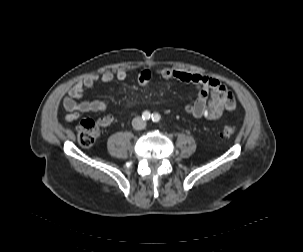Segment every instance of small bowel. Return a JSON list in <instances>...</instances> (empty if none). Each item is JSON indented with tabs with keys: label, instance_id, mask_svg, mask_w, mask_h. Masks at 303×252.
Segmentation results:
<instances>
[{
	"label": "small bowel",
	"instance_id": "obj_1",
	"mask_svg": "<svg viewBox=\"0 0 303 252\" xmlns=\"http://www.w3.org/2000/svg\"><path fill=\"white\" fill-rule=\"evenodd\" d=\"M163 79L176 80L181 83H190L197 89L196 96L186 106V112L194 119H218L224 112L236 109V99L229 89L217 78L197 73H190L170 67L156 70ZM153 75L149 68L141 69L137 74V82L141 86L147 85ZM128 72L124 69L118 71H105L102 74H91L70 87L67 96L63 99V108L67 111L65 119L75 121L87 113H97L106 109V103L101 100L81 101L86 89H92L99 82L109 83L113 80L123 81ZM113 122L111 115H105L98 120L102 127Z\"/></svg>",
	"mask_w": 303,
	"mask_h": 252
}]
</instances>
